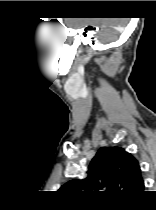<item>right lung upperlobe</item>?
Segmentation results:
<instances>
[{
	"label": "right lung upper lobe",
	"mask_w": 156,
	"mask_h": 210,
	"mask_svg": "<svg viewBox=\"0 0 156 210\" xmlns=\"http://www.w3.org/2000/svg\"><path fill=\"white\" fill-rule=\"evenodd\" d=\"M61 189L132 200L143 192L144 182L138 161L124 148L102 147L91 161L86 178L71 180Z\"/></svg>",
	"instance_id": "obj_1"
}]
</instances>
